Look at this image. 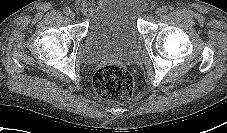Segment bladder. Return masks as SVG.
<instances>
[{
	"label": "bladder",
	"mask_w": 227,
	"mask_h": 133,
	"mask_svg": "<svg viewBox=\"0 0 227 133\" xmlns=\"http://www.w3.org/2000/svg\"><path fill=\"white\" fill-rule=\"evenodd\" d=\"M141 0H101L90 17L80 54L94 63L106 58L133 60L139 48Z\"/></svg>",
	"instance_id": "obj_1"
}]
</instances>
